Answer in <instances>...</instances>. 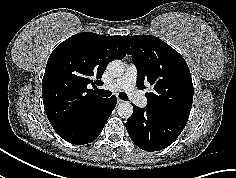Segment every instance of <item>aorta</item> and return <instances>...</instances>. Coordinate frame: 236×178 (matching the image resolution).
Listing matches in <instances>:
<instances>
[{
    "mask_svg": "<svg viewBox=\"0 0 236 178\" xmlns=\"http://www.w3.org/2000/svg\"><path fill=\"white\" fill-rule=\"evenodd\" d=\"M108 72L114 76H121L124 72L123 63L120 60H113L107 66ZM117 113L121 118H130L133 114V106L129 102H123L117 106Z\"/></svg>",
    "mask_w": 236,
    "mask_h": 178,
    "instance_id": "obj_1",
    "label": "aorta"
}]
</instances>
